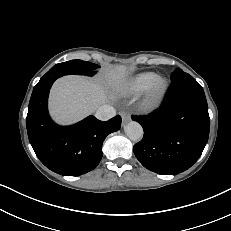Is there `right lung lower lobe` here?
<instances>
[{"instance_id":"1","label":"right lung lower lobe","mask_w":231,"mask_h":231,"mask_svg":"<svg viewBox=\"0 0 231 231\" xmlns=\"http://www.w3.org/2000/svg\"><path fill=\"white\" fill-rule=\"evenodd\" d=\"M57 78L37 83L31 95L26 127L29 141L39 160L64 176H79L97 167L106 136L118 131L121 117L100 121L89 116L71 126H59L49 117V90Z\"/></svg>"}]
</instances>
